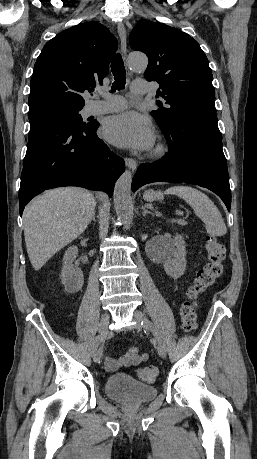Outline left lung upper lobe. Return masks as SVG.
Segmentation results:
<instances>
[{
	"instance_id": "1",
	"label": "left lung upper lobe",
	"mask_w": 257,
	"mask_h": 459,
	"mask_svg": "<svg viewBox=\"0 0 257 459\" xmlns=\"http://www.w3.org/2000/svg\"><path fill=\"white\" fill-rule=\"evenodd\" d=\"M129 42L132 49L148 56L145 78L160 84L157 95L166 100V107L159 102L151 112L161 128L184 113L214 111L212 71L196 40L177 28L142 20Z\"/></svg>"
}]
</instances>
